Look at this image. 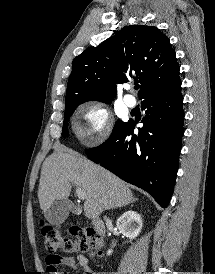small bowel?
<instances>
[{
	"instance_id": "c3829d8e",
	"label": "small bowel",
	"mask_w": 215,
	"mask_h": 274,
	"mask_svg": "<svg viewBox=\"0 0 215 274\" xmlns=\"http://www.w3.org/2000/svg\"><path fill=\"white\" fill-rule=\"evenodd\" d=\"M46 272L49 274H68L58 270L59 265L64 266H79L81 267L83 274H107L105 272H95L89 266L88 259L85 255L78 253L73 257L60 256L56 254H49L46 259Z\"/></svg>"
}]
</instances>
